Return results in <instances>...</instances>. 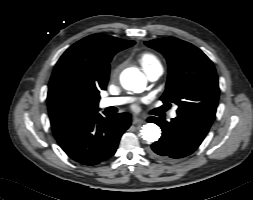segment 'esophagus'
Returning a JSON list of instances; mask_svg holds the SVG:
<instances>
[{"label": "esophagus", "instance_id": "obj_1", "mask_svg": "<svg viewBox=\"0 0 253 200\" xmlns=\"http://www.w3.org/2000/svg\"><path fill=\"white\" fill-rule=\"evenodd\" d=\"M132 123H133L134 125H139V124H142V123H143V120H142V119H139V118H134V119L132 120Z\"/></svg>", "mask_w": 253, "mask_h": 200}]
</instances>
